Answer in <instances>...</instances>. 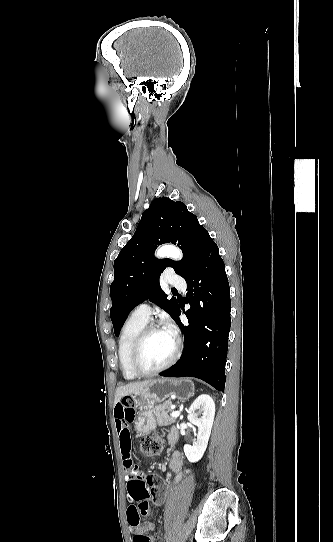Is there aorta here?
Returning a JSON list of instances; mask_svg holds the SVG:
<instances>
[{
  "instance_id": "1",
  "label": "aorta",
  "mask_w": 333,
  "mask_h": 542,
  "mask_svg": "<svg viewBox=\"0 0 333 542\" xmlns=\"http://www.w3.org/2000/svg\"><path fill=\"white\" fill-rule=\"evenodd\" d=\"M157 256H160V258H164V256H169V258H180L181 252L180 250H177L175 246H163V248L158 250Z\"/></svg>"
}]
</instances>
